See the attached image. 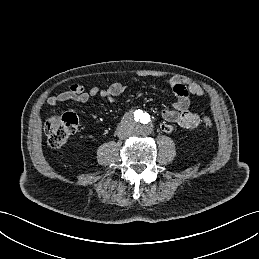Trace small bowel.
Returning a JSON list of instances; mask_svg holds the SVG:
<instances>
[{
    "mask_svg": "<svg viewBox=\"0 0 259 259\" xmlns=\"http://www.w3.org/2000/svg\"><path fill=\"white\" fill-rule=\"evenodd\" d=\"M139 75L145 76L147 74L141 72ZM153 75L157 77L166 76L159 72ZM168 82L177 100L172 103V109H165L161 112L163 119L160 124L161 130L165 133H171L174 130V124L185 129L197 127L200 123V117L189 109L190 96H203L205 95L204 90L198 84L180 78L169 77ZM124 91L125 85L120 81L112 83L106 89L101 90L98 86H94L88 91L80 84H71L68 90L49 97L48 104L56 106L69 101L84 104L97 96L112 101Z\"/></svg>",
    "mask_w": 259,
    "mask_h": 259,
    "instance_id": "c3829d8e",
    "label": "small bowel"
}]
</instances>
